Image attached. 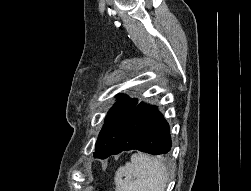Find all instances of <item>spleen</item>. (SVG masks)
<instances>
[{"label":"spleen","mask_w":251,"mask_h":191,"mask_svg":"<svg viewBox=\"0 0 251 191\" xmlns=\"http://www.w3.org/2000/svg\"><path fill=\"white\" fill-rule=\"evenodd\" d=\"M114 181L115 191H165L168 171L159 159L138 151L118 167Z\"/></svg>","instance_id":"1"}]
</instances>
